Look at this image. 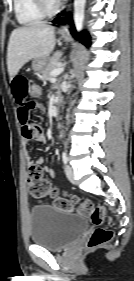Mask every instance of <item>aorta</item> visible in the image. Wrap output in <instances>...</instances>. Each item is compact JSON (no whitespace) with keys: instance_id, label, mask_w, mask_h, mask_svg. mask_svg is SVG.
<instances>
[{"instance_id":"1","label":"aorta","mask_w":134,"mask_h":281,"mask_svg":"<svg viewBox=\"0 0 134 281\" xmlns=\"http://www.w3.org/2000/svg\"><path fill=\"white\" fill-rule=\"evenodd\" d=\"M85 3L86 0L74 1V22L78 32H80L83 27Z\"/></svg>"}]
</instances>
